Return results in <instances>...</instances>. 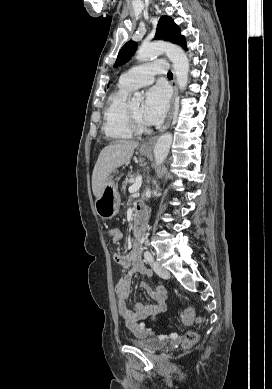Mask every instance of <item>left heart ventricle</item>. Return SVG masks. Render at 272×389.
I'll list each match as a JSON object with an SVG mask.
<instances>
[{"instance_id":"1","label":"left heart ventricle","mask_w":272,"mask_h":389,"mask_svg":"<svg viewBox=\"0 0 272 389\" xmlns=\"http://www.w3.org/2000/svg\"><path fill=\"white\" fill-rule=\"evenodd\" d=\"M130 107L139 122L144 125H147L142 118V103H135L130 105Z\"/></svg>"}]
</instances>
